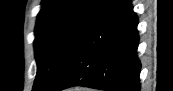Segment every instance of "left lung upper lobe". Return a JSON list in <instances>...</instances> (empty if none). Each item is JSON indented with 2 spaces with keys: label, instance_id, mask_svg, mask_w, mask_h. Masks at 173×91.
<instances>
[{
  "label": "left lung upper lobe",
  "instance_id": "obj_1",
  "mask_svg": "<svg viewBox=\"0 0 173 91\" xmlns=\"http://www.w3.org/2000/svg\"><path fill=\"white\" fill-rule=\"evenodd\" d=\"M115 0H43L35 27L33 91H50L75 51Z\"/></svg>",
  "mask_w": 173,
  "mask_h": 91
}]
</instances>
